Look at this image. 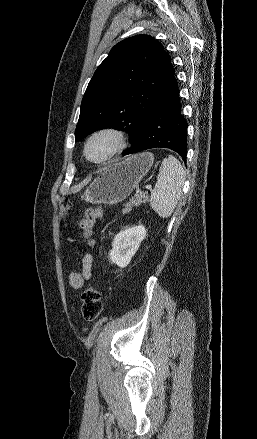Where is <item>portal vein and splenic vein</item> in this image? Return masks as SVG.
I'll use <instances>...</instances> for the list:
<instances>
[{"label":"portal vein and splenic vein","mask_w":257,"mask_h":439,"mask_svg":"<svg viewBox=\"0 0 257 439\" xmlns=\"http://www.w3.org/2000/svg\"><path fill=\"white\" fill-rule=\"evenodd\" d=\"M146 189L151 190L152 189L151 185H147Z\"/></svg>","instance_id":"1"}]
</instances>
